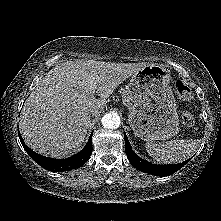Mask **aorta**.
Returning <instances> with one entry per match:
<instances>
[{"label":"aorta","instance_id":"obj_1","mask_svg":"<svg viewBox=\"0 0 221 221\" xmlns=\"http://www.w3.org/2000/svg\"><path fill=\"white\" fill-rule=\"evenodd\" d=\"M101 123L104 128L117 129L120 126L121 120L118 114L108 113L102 117Z\"/></svg>","mask_w":221,"mask_h":221}]
</instances>
